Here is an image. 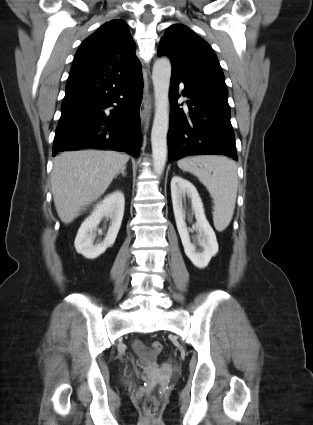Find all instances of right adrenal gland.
<instances>
[{
    "instance_id": "obj_1",
    "label": "right adrenal gland",
    "mask_w": 313,
    "mask_h": 425,
    "mask_svg": "<svg viewBox=\"0 0 313 425\" xmlns=\"http://www.w3.org/2000/svg\"><path fill=\"white\" fill-rule=\"evenodd\" d=\"M125 170H126V166H123L121 170L116 174L115 178H117L119 174H122V176L125 177L126 176Z\"/></svg>"
}]
</instances>
